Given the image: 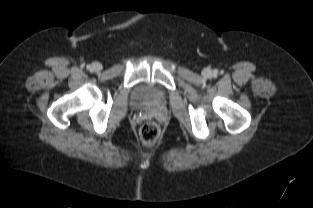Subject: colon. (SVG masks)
<instances>
[{"instance_id":"5ec220e1","label":"colon","mask_w":313,"mask_h":208,"mask_svg":"<svg viewBox=\"0 0 313 208\" xmlns=\"http://www.w3.org/2000/svg\"><path fill=\"white\" fill-rule=\"evenodd\" d=\"M160 127L155 122H146L140 128V138L145 145L154 144L160 136Z\"/></svg>"}]
</instances>
